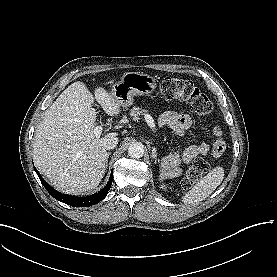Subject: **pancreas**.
Masks as SVG:
<instances>
[{
  "mask_svg": "<svg viewBox=\"0 0 277 277\" xmlns=\"http://www.w3.org/2000/svg\"><path fill=\"white\" fill-rule=\"evenodd\" d=\"M147 112V110L140 107H133L130 109V116L133 117L134 120H138L140 116L145 115Z\"/></svg>",
  "mask_w": 277,
  "mask_h": 277,
  "instance_id": "1",
  "label": "pancreas"
}]
</instances>
